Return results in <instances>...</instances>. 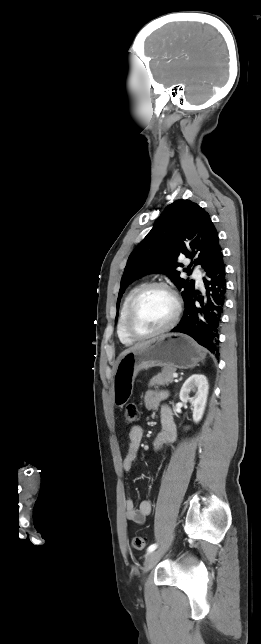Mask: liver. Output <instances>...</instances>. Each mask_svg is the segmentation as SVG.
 <instances>
[{
	"label": "liver",
	"instance_id": "1",
	"mask_svg": "<svg viewBox=\"0 0 261 644\" xmlns=\"http://www.w3.org/2000/svg\"><path fill=\"white\" fill-rule=\"evenodd\" d=\"M152 340H153V339H152ZM152 340L147 341V342H143V343H140V344H136L135 346H133V347H131V348H129V349H127V350H125V351L122 353V356H123V355H125V354H127V353H129V352H131V351H134V350H137V349H140V348H143V347L147 346L150 342H152Z\"/></svg>",
	"mask_w": 261,
	"mask_h": 644
}]
</instances>
